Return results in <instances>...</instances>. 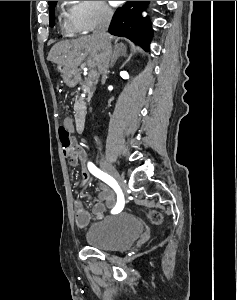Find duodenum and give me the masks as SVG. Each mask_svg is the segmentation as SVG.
<instances>
[{
  "instance_id": "duodenum-1",
  "label": "duodenum",
  "mask_w": 237,
  "mask_h": 300,
  "mask_svg": "<svg viewBox=\"0 0 237 300\" xmlns=\"http://www.w3.org/2000/svg\"><path fill=\"white\" fill-rule=\"evenodd\" d=\"M87 111L84 107H79L75 115V128L78 133H83L86 127Z\"/></svg>"
}]
</instances>
